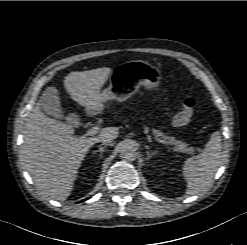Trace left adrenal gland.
I'll return each mask as SVG.
<instances>
[{
    "label": "left adrenal gland",
    "instance_id": "1",
    "mask_svg": "<svg viewBox=\"0 0 247 245\" xmlns=\"http://www.w3.org/2000/svg\"><path fill=\"white\" fill-rule=\"evenodd\" d=\"M145 148H146V154H147V160H149L152 156L155 155V152H150L149 151V146L148 145H145Z\"/></svg>",
    "mask_w": 247,
    "mask_h": 245
}]
</instances>
